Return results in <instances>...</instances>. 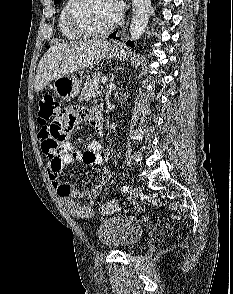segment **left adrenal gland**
<instances>
[{"instance_id":"1","label":"left adrenal gland","mask_w":233,"mask_h":294,"mask_svg":"<svg viewBox=\"0 0 233 294\" xmlns=\"http://www.w3.org/2000/svg\"><path fill=\"white\" fill-rule=\"evenodd\" d=\"M114 81V75L111 77L110 79V83L107 87L106 93H105V100L108 102L109 101V97L111 95V91L116 89V85L113 83Z\"/></svg>"}]
</instances>
